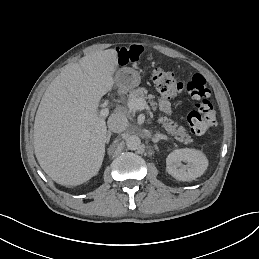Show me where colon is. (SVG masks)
Instances as JSON below:
<instances>
[{
  "label": "colon",
  "mask_w": 259,
  "mask_h": 259,
  "mask_svg": "<svg viewBox=\"0 0 259 259\" xmlns=\"http://www.w3.org/2000/svg\"><path fill=\"white\" fill-rule=\"evenodd\" d=\"M152 78L156 89L165 98H174L186 90L194 100L195 109L187 113V122L191 132L202 135L216 126V114L212 104L211 91L206 79L201 74L193 75L186 83L175 79L170 71L156 68Z\"/></svg>",
  "instance_id": "colon-1"
}]
</instances>
